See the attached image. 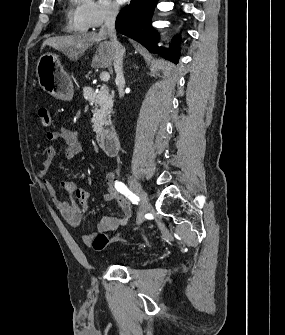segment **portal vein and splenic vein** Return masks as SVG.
<instances>
[{
	"label": "portal vein and splenic vein",
	"instance_id": "obj_1",
	"mask_svg": "<svg viewBox=\"0 0 285 335\" xmlns=\"http://www.w3.org/2000/svg\"><path fill=\"white\" fill-rule=\"evenodd\" d=\"M100 80H102V82H108V80H110L109 74H105V72H102V74H100Z\"/></svg>",
	"mask_w": 285,
	"mask_h": 335
}]
</instances>
